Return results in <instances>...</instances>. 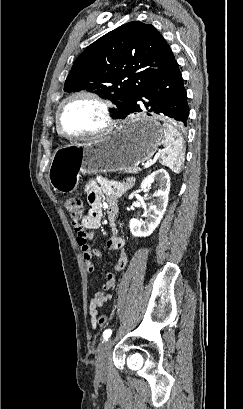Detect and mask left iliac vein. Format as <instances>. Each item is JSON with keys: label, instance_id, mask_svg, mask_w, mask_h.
<instances>
[{"label": "left iliac vein", "instance_id": "4c4485c4", "mask_svg": "<svg viewBox=\"0 0 243 409\" xmlns=\"http://www.w3.org/2000/svg\"><path fill=\"white\" fill-rule=\"evenodd\" d=\"M113 341L111 339L107 340L97 356L96 361V374L97 377L102 379L106 376L108 371V359L111 352Z\"/></svg>", "mask_w": 243, "mask_h": 409}]
</instances>
